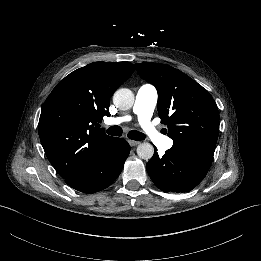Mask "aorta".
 <instances>
[{"label":"aorta","instance_id":"aorta-1","mask_svg":"<svg viewBox=\"0 0 261 261\" xmlns=\"http://www.w3.org/2000/svg\"><path fill=\"white\" fill-rule=\"evenodd\" d=\"M134 93L128 88H120L113 95L114 105L121 110H128L134 104ZM154 148L150 143H142L137 147V155L143 160L153 157Z\"/></svg>","mask_w":261,"mask_h":261}]
</instances>
